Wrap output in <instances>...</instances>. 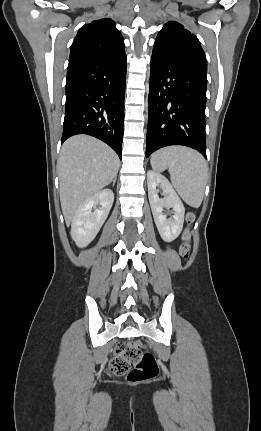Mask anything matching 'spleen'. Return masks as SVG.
I'll use <instances>...</instances> for the list:
<instances>
[{
	"label": "spleen",
	"instance_id": "spleen-1",
	"mask_svg": "<svg viewBox=\"0 0 261 431\" xmlns=\"http://www.w3.org/2000/svg\"><path fill=\"white\" fill-rule=\"evenodd\" d=\"M151 166L157 172L168 169L181 198L194 208L201 205L208 167L198 152L185 147H167L152 155Z\"/></svg>",
	"mask_w": 261,
	"mask_h": 431
}]
</instances>
